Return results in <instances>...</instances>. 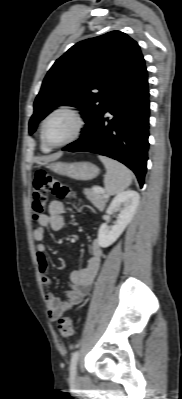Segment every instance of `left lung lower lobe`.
Masks as SVG:
<instances>
[{
	"mask_svg": "<svg viewBox=\"0 0 182 399\" xmlns=\"http://www.w3.org/2000/svg\"><path fill=\"white\" fill-rule=\"evenodd\" d=\"M149 112L144 65L112 95L86 133L62 150L92 152L118 160L135 173L142 187L148 160Z\"/></svg>",
	"mask_w": 182,
	"mask_h": 399,
	"instance_id": "0a47b994",
	"label": "left lung lower lobe"
}]
</instances>
